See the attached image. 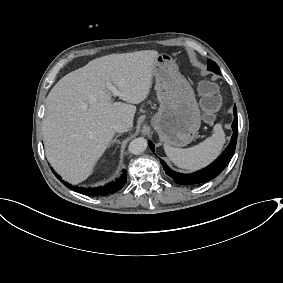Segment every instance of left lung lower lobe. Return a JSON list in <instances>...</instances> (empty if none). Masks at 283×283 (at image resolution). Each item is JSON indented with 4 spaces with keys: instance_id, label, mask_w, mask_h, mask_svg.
Returning <instances> with one entry per match:
<instances>
[{
    "instance_id": "0a47b994",
    "label": "left lung lower lobe",
    "mask_w": 283,
    "mask_h": 283,
    "mask_svg": "<svg viewBox=\"0 0 283 283\" xmlns=\"http://www.w3.org/2000/svg\"><path fill=\"white\" fill-rule=\"evenodd\" d=\"M233 113H234V121L232 124L233 136L231 142L229 146L225 149V151L221 154V156H219L218 159H216L208 167L192 174H181L171 170L165 164V162L160 159L163 169L165 170V173L168 176H170L175 181V183L180 185L200 184L212 180L217 175H219L220 172L223 171V169L227 166V164L231 160L236 147L237 132H238V119H237L236 107H234ZM149 146L154 153V145L151 142H149Z\"/></svg>"
}]
</instances>
